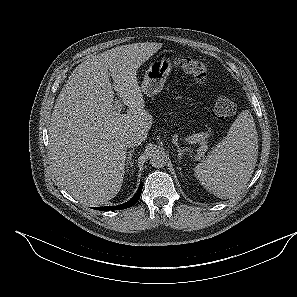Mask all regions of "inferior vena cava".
Segmentation results:
<instances>
[{
  "mask_svg": "<svg viewBox=\"0 0 297 297\" xmlns=\"http://www.w3.org/2000/svg\"><path fill=\"white\" fill-rule=\"evenodd\" d=\"M144 141V137L140 134L132 133L125 137L124 143L126 147L139 146Z\"/></svg>",
  "mask_w": 297,
  "mask_h": 297,
  "instance_id": "602c4592",
  "label": "inferior vena cava"
}]
</instances>
